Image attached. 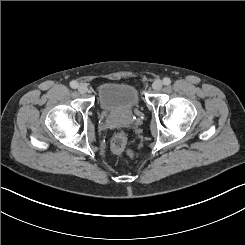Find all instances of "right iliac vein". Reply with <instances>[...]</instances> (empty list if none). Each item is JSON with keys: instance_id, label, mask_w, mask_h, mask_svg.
<instances>
[{"instance_id": "1", "label": "right iliac vein", "mask_w": 245, "mask_h": 245, "mask_svg": "<svg viewBox=\"0 0 245 245\" xmlns=\"http://www.w3.org/2000/svg\"><path fill=\"white\" fill-rule=\"evenodd\" d=\"M87 90H88V87H87L86 84L81 83V84L78 86V91H79V93H81V94L86 93Z\"/></svg>"}]
</instances>
